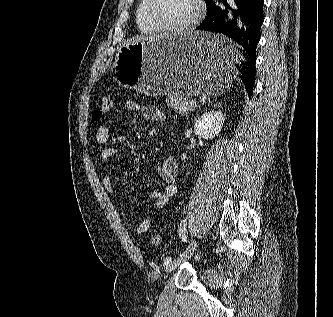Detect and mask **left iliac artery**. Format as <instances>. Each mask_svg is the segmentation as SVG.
I'll return each mask as SVG.
<instances>
[{
    "mask_svg": "<svg viewBox=\"0 0 333 317\" xmlns=\"http://www.w3.org/2000/svg\"><path fill=\"white\" fill-rule=\"evenodd\" d=\"M186 226H187V221L186 219L182 220L181 223H180V226H179V236L181 237V239L184 241V242H187V235H186ZM188 251V248L186 249L185 252ZM171 257H166L164 259V265H167L169 262H171Z\"/></svg>",
    "mask_w": 333,
    "mask_h": 317,
    "instance_id": "44dca946",
    "label": "left iliac artery"
}]
</instances>
